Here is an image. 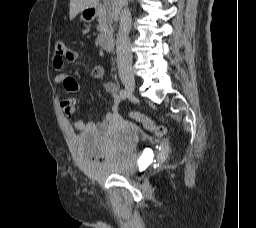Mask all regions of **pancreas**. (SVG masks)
I'll list each match as a JSON object with an SVG mask.
<instances>
[{"mask_svg": "<svg viewBox=\"0 0 256 228\" xmlns=\"http://www.w3.org/2000/svg\"><path fill=\"white\" fill-rule=\"evenodd\" d=\"M98 31L108 33L111 30L112 13L110 3H104L98 16Z\"/></svg>", "mask_w": 256, "mask_h": 228, "instance_id": "1", "label": "pancreas"}]
</instances>
